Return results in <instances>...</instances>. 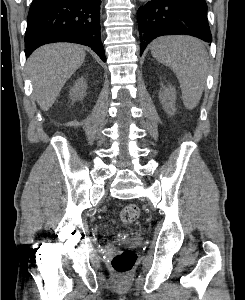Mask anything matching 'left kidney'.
Returning a JSON list of instances; mask_svg holds the SVG:
<instances>
[{"label":"left kidney","instance_id":"1","mask_svg":"<svg viewBox=\"0 0 245 300\" xmlns=\"http://www.w3.org/2000/svg\"><path fill=\"white\" fill-rule=\"evenodd\" d=\"M159 97L164 108L167 111L174 109L173 107H174L175 96H174L173 88L170 87V88L162 89L160 91Z\"/></svg>","mask_w":245,"mask_h":300}]
</instances>
